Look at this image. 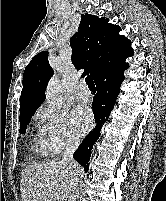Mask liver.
<instances>
[{"mask_svg":"<svg viewBox=\"0 0 166 201\" xmlns=\"http://www.w3.org/2000/svg\"><path fill=\"white\" fill-rule=\"evenodd\" d=\"M80 172L77 163L58 159L27 166L20 179L22 201H66Z\"/></svg>","mask_w":166,"mask_h":201,"instance_id":"1","label":"liver"}]
</instances>
